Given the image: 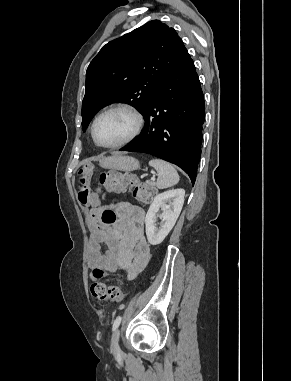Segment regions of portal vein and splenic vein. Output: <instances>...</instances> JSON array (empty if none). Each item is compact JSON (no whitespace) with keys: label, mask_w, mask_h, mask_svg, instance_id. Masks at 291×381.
<instances>
[{"label":"portal vein and splenic vein","mask_w":291,"mask_h":381,"mask_svg":"<svg viewBox=\"0 0 291 381\" xmlns=\"http://www.w3.org/2000/svg\"><path fill=\"white\" fill-rule=\"evenodd\" d=\"M151 180H153V181L155 180V175L152 176Z\"/></svg>","instance_id":"1"}]
</instances>
